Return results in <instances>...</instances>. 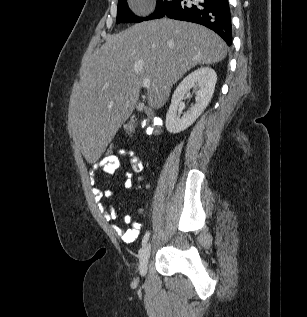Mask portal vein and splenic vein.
<instances>
[{"mask_svg": "<svg viewBox=\"0 0 307 317\" xmlns=\"http://www.w3.org/2000/svg\"><path fill=\"white\" fill-rule=\"evenodd\" d=\"M142 85H143V87H145V88H149V87H150V80H149V79L143 80Z\"/></svg>", "mask_w": 307, "mask_h": 317, "instance_id": "portal-vein-and-splenic-vein-1", "label": "portal vein and splenic vein"}]
</instances>
